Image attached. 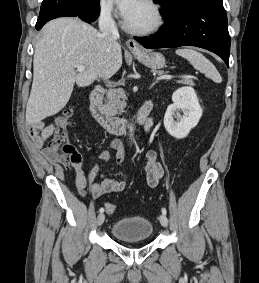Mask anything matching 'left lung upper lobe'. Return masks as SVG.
Segmentation results:
<instances>
[{"label": "left lung upper lobe", "mask_w": 259, "mask_h": 283, "mask_svg": "<svg viewBox=\"0 0 259 283\" xmlns=\"http://www.w3.org/2000/svg\"><path fill=\"white\" fill-rule=\"evenodd\" d=\"M161 4L163 10L161 14L164 18H169L183 10L198 0H154Z\"/></svg>", "instance_id": "1"}]
</instances>
